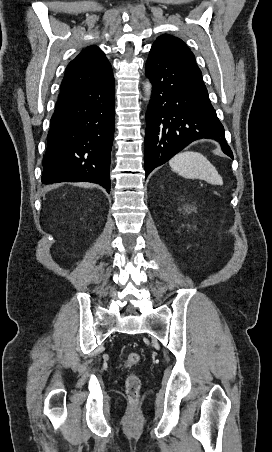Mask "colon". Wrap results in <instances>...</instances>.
<instances>
[{"mask_svg":"<svg viewBox=\"0 0 272 452\" xmlns=\"http://www.w3.org/2000/svg\"><path fill=\"white\" fill-rule=\"evenodd\" d=\"M140 361V355L136 352L129 353L124 364L127 367L134 366ZM141 389V379L135 374H131L126 379V394L130 401L136 402L139 399V393Z\"/></svg>","mask_w":272,"mask_h":452,"instance_id":"obj_1","label":"colon"}]
</instances>
